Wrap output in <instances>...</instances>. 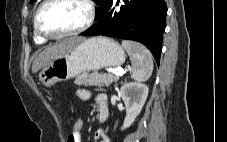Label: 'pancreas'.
I'll use <instances>...</instances> for the list:
<instances>
[{
	"label": "pancreas",
	"instance_id": "pancreas-1",
	"mask_svg": "<svg viewBox=\"0 0 227 142\" xmlns=\"http://www.w3.org/2000/svg\"><path fill=\"white\" fill-rule=\"evenodd\" d=\"M119 80L118 76L112 74H98L96 72H83L76 76L74 83L84 86L108 87L112 82Z\"/></svg>",
	"mask_w": 227,
	"mask_h": 142
}]
</instances>
